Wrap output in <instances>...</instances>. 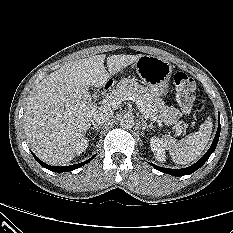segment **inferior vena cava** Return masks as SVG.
I'll use <instances>...</instances> for the list:
<instances>
[{
    "label": "inferior vena cava",
    "mask_w": 233,
    "mask_h": 233,
    "mask_svg": "<svg viewBox=\"0 0 233 233\" xmlns=\"http://www.w3.org/2000/svg\"><path fill=\"white\" fill-rule=\"evenodd\" d=\"M113 110L107 106H100L92 118V124L99 126L107 123L113 117Z\"/></svg>",
    "instance_id": "inferior-vena-cava-1"
}]
</instances>
